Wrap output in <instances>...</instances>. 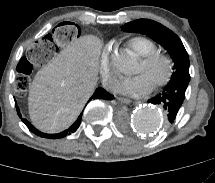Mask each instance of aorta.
I'll return each mask as SVG.
<instances>
[{"label":"aorta","mask_w":215,"mask_h":183,"mask_svg":"<svg viewBox=\"0 0 215 183\" xmlns=\"http://www.w3.org/2000/svg\"><path fill=\"white\" fill-rule=\"evenodd\" d=\"M112 63L116 70L127 73L131 70L134 59L131 55L122 51L119 55L113 57ZM131 120L137 132L153 134L162 127L164 118L163 113L158 108L145 106L137 109Z\"/></svg>","instance_id":"obj_1"}]
</instances>
